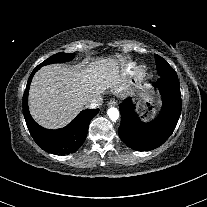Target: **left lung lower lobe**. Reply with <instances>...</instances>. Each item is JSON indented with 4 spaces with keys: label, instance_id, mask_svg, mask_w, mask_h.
Wrapping results in <instances>:
<instances>
[{
    "label": "left lung lower lobe",
    "instance_id": "left-lung-lower-lobe-1",
    "mask_svg": "<svg viewBox=\"0 0 207 207\" xmlns=\"http://www.w3.org/2000/svg\"><path fill=\"white\" fill-rule=\"evenodd\" d=\"M154 85L161 92L163 107L152 122L144 124L136 117L130 98L119 104V136L134 150L148 151L162 145L173 133L181 114V94L176 72L161 75Z\"/></svg>",
    "mask_w": 207,
    "mask_h": 207
}]
</instances>
